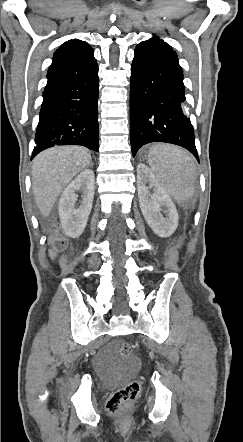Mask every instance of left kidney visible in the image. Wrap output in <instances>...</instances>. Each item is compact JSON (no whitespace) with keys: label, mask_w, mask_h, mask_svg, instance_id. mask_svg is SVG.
I'll return each mask as SVG.
<instances>
[{"label":"left kidney","mask_w":243,"mask_h":442,"mask_svg":"<svg viewBox=\"0 0 243 442\" xmlns=\"http://www.w3.org/2000/svg\"><path fill=\"white\" fill-rule=\"evenodd\" d=\"M154 187L151 194L146 184ZM137 186L141 212L153 232L161 238L171 236L178 226V212L167 192L159 185L152 171L143 163L137 166ZM162 207L167 216L161 214Z\"/></svg>","instance_id":"5707ae66"}]
</instances>
